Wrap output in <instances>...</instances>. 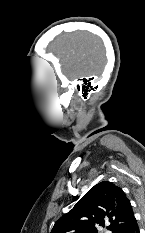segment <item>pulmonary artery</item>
Here are the masks:
<instances>
[{"label": "pulmonary artery", "instance_id": "e3ab8cb5", "mask_svg": "<svg viewBox=\"0 0 145 233\" xmlns=\"http://www.w3.org/2000/svg\"><path fill=\"white\" fill-rule=\"evenodd\" d=\"M104 233H111V231H104Z\"/></svg>", "mask_w": 145, "mask_h": 233}]
</instances>
